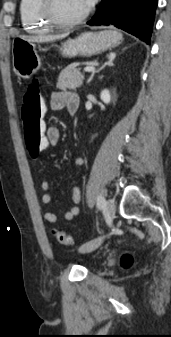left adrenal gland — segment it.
<instances>
[{
	"label": "left adrenal gland",
	"instance_id": "a2214340",
	"mask_svg": "<svg viewBox=\"0 0 171 337\" xmlns=\"http://www.w3.org/2000/svg\"><path fill=\"white\" fill-rule=\"evenodd\" d=\"M116 57L115 53H110V55L108 56V61L106 63H104L98 70L94 71L90 78L88 79V83H90L95 75V73H99L102 69H104L106 66H113V61Z\"/></svg>",
	"mask_w": 171,
	"mask_h": 337
}]
</instances>
